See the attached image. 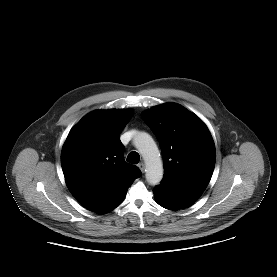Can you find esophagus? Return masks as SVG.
<instances>
[{
  "mask_svg": "<svg viewBox=\"0 0 277 277\" xmlns=\"http://www.w3.org/2000/svg\"><path fill=\"white\" fill-rule=\"evenodd\" d=\"M138 167H139V169H140V171H141L142 173L145 172V164H144L143 162L139 163V164H138Z\"/></svg>",
  "mask_w": 277,
  "mask_h": 277,
  "instance_id": "obj_1",
  "label": "esophagus"
}]
</instances>
